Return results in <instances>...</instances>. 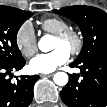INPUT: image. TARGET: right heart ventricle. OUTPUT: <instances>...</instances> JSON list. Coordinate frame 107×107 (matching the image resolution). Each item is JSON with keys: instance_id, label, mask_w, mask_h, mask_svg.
Segmentation results:
<instances>
[{"instance_id": "obj_1", "label": "right heart ventricle", "mask_w": 107, "mask_h": 107, "mask_svg": "<svg viewBox=\"0 0 107 107\" xmlns=\"http://www.w3.org/2000/svg\"><path fill=\"white\" fill-rule=\"evenodd\" d=\"M40 26L45 33L51 35H55L70 28V24L66 20L59 17L44 19L40 22Z\"/></svg>"}]
</instances>
